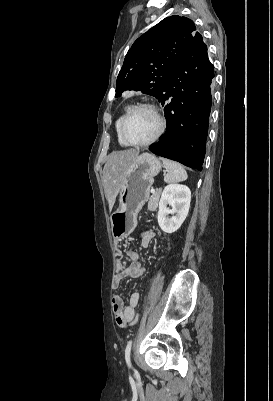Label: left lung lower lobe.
I'll return each mask as SVG.
<instances>
[{
  "label": "left lung lower lobe",
  "mask_w": 273,
  "mask_h": 401,
  "mask_svg": "<svg viewBox=\"0 0 273 401\" xmlns=\"http://www.w3.org/2000/svg\"><path fill=\"white\" fill-rule=\"evenodd\" d=\"M213 78L214 67L201 37L177 64L157 98L164 106L167 129L159 142L149 147L151 152L202 171Z\"/></svg>",
  "instance_id": "left-lung-lower-lobe-1"
}]
</instances>
